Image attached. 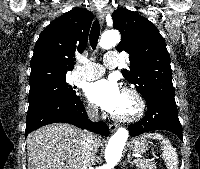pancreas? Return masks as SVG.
Masks as SVG:
<instances>
[{
	"instance_id": "cf45deb5",
	"label": "pancreas",
	"mask_w": 200,
	"mask_h": 169,
	"mask_svg": "<svg viewBox=\"0 0 200 169\" xmlns=\"http://www.w3.org/2000/svg\"><path fill=\"white\" fill-rule=\"evenodd\" d=\"M134 163L139 169H156V164L148 160H135Z\"/></svg>"
}]
</instances>
